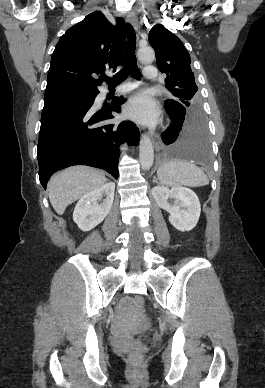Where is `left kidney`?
Wrapping results in <instances>:
<instances>
[{
    "label": "left kidney",
    "mask_w": 265,
    "mask_h": 388,
    "mask_svg": "<svg viewBox=\"0 0 265 388\" xmlns=\"http://www.w3.org/2000/svg\"><path fill=\"white\" fill-rule=\"evenodd\" d=\"M152 196L159 208L166 210L169 222L180 232H190L195 228L200 216V202L198 196L189 188H164L155 186L151 190Z\"/></svg>",
    "instance_id": "1"
}]
</instances>
